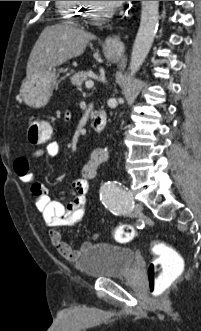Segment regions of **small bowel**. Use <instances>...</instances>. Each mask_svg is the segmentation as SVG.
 <instances>
[{
    "mask_svg": "<svg viewBox=\"0 0 201 331\" xmlns=\"http://www.w3.org/2000/svg\"><path fill=\"white\" fill-rule=\"evenodd\" d=\"M59 153V142L51 141L45 148L36 150L32 157L47 156L53 159ZM108 157L109 153L105 148L93 150L88 162L81 169L80 177L71 183V190L68 191L71 200L67 202L55 200L49 196L48 189L38 182L30 172L29 159L27 157H20L14 161L16 175L21 181L30 184V191L36 208L45 225L50 228L49 236L52 244L63 257L70 261L77 260L83 252L92 246V243L86 241L78 249H74L56 228L60 226L73 227L81 222L86 213L87 194L89 191L88 181L96 176L98 167L107 161Z\"/></svg>",
    "mask_w": 201,
    "mask_h": 331,
    "instance_id": "obj_1",
    "label": "small bowel"
}]
</instances>
